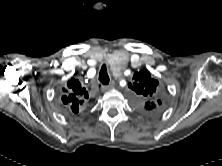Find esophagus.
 Masks as SVG:
<instances>
[{"mask_svg":"<svg viewBox=\"0 0 222 166\" xmlns=\"http://www.w3.org/2000/svg\"><path fill=\"white\" fill-rule=\"evenodd\" d=\"M114 87V83L112 82L110 85H104L101 87V90L104 92V91H107L109 89H112Z\"/></svg>","mask_w":222,"mask_h":166,"instance_id":"34e87169","label":"esophagus"}]
</instances>
